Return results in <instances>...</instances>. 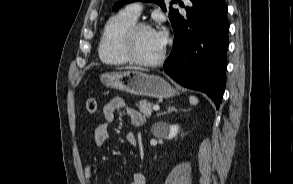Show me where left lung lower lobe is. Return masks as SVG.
<instances>
[{
    "label": "left lung lower lobe",
    "instance_id": "1",
    "mask_svg": "<svg viewBox=\"0 0 293 184\" xmlns=\"http://www.w3.org/2000/svg\"><path fill=\"white\" fill-rule=\"evenodd\" d=\"M186 15L174 10L173 49L164 71L184 87L206 93L216 104L225 88L229 23L224 0H190Z\"/></svg>",
    "mask_w": 293,
    "mask_h": 184
}]
</instances>
